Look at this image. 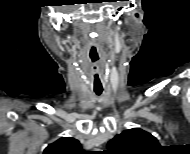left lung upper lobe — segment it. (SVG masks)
<instances>
[{
  "label": "left lung upper lobe",
  "instance_id": "left-lung-upper-lobe-1",
  "mask_svg": "<svg viewBox=\"0 0 190 154\" xmlns=\"http://www.w3.org/2000/svg\"><path fill=\"white\" fill-rule=\"evenodd\" d=\"M150 133L133 128L123 131L108 142L106 154H151L160 148Z\"/></svg>",
  "mask_w": 190,
  "mask_h": 154
}]
</instances>
